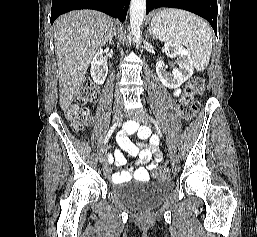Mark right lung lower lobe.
<instances>
[{
	"label": "right lung lower lobe",
	"mask_w": 257,
	"mask_h": 237,
	"mask_svg": "<svg viewBox=\"0 0 257 237\" xmlns=\"http://www.w3.org/2000/svg\"><path fill=\"white\" fill-rule=\"evenodd\" d=\"M130 0H52L51 24L61 14L76 9H94L123 22Z\"/></svg>",
	"instance_id": "98d812e1"
}]
</instances>
